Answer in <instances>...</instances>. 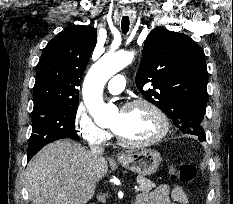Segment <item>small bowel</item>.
<instances>
[{
    "mask_svg": "<svg viewBox=\"0 0 233 204\" xmlns=\"http://www.w3.org/2000/svg\"><path fill=\"white\" fill-rule=\"evenodd\" d=\"M135 204H190V200L180 185L162 184L153 191L140 194Z\"/></svg>",
    "mask_w": 233,
    "mask_h": 204,
    "instance_id": "1",
    "label": "small bowel"
}]
</instances>
